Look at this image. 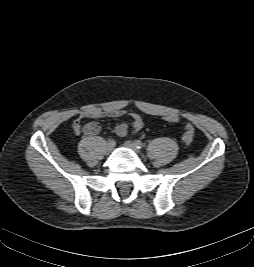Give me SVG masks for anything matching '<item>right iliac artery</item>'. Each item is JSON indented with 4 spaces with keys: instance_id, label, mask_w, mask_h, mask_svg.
Wrapping results in <instances>:
<instances>
[{
    "instance_id": "obj_1",
    "label": "right iliac artery",
    "mask_w": 254,
    "mask_h": 267,
    "mask_svg": "<svg viewBox=\"0 0 254 267\" xmlns=\"http://www.w3.org/2000/svg\"><path fill=\"white\" fill-rule=\"evenodd\" d=\"M108 144L114 146L115 145V140L114 139L109 140Z\"/></svg>"
}]
</instances>
